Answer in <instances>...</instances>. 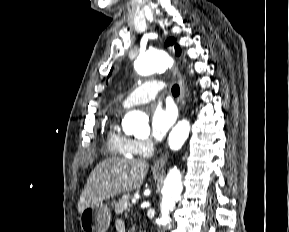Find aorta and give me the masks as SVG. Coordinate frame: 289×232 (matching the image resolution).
<instances>
[{"instance_id":"aorta-1","label":"aorta","mask_w":289,"mask_h":232,"mask_svg":"<svg viewBox=\"0 0 289 232\" xmlns=\"http://www.w3.org/2000/svg\"><path fill=\"white\" fill-rule=\"evenodd\" d=\"M135 69L141 76H148L155 72H165L171 66V60L164 50H152L140 55L135 61ZM123 130L134 135L148 134L150 131L148 118L139 111L127 113L122 121ZM190 133V123L180 121L169 135V146L172 150H179ZM182 177L180 171L174 167L170 169L162 189L160 225L166 226L170 222V212L178 202L182 192Z\"/></svg>"}]
</instances>
